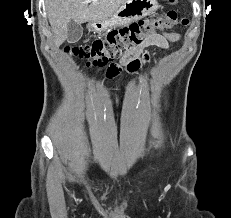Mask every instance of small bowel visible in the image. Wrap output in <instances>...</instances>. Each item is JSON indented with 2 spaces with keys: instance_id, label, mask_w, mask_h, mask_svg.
<instances>
[{
  "instance_id": "obj_1",
  "label": "small bowel",
  "mask_w": 231,
  "mask_h": 218,
  "mask_svg": "<svg viewBox=\"0 0 231 218\" xmlns=\"http://www.w3.org/2000/svg\"><path fill=\"white\" fill-rule=\"evenodd\" d=\"M180 38L178 33H162L156 34L147 39L143 46L136 48L132 52L123 56L118 63H111L110 66H106L105 69L97 70L96 72L101 74H106L108 79H113L119 74H126V69H122L124 67L127 68L129 72L137 71L141 64L148 65V58H138L144 48L150 46H156L163 49H168L171 42H175Z\"/></svg>"
}]
</instances>
